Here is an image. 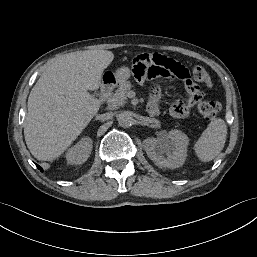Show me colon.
<instances>
[{"mask_svg":"<svg viewBox=\"0 0 257 257\" xmlns=\"http://www.w3.org/2000/svg\"><path fill=\"white\" fill-rule=\"evenodd\" d=\"M192 69H194L197 73V79L195 82H199L205 86H211L210 76L202 66H194L192 67ZM219 110H220L219 104L214 101L205 100V101H201L198 104V112L206 120L213 119L218 114Z\"/></svg>","mask_w":257,"mask_h":257,"instance_id":"obj_1","label":"colon"}]
</instances>
